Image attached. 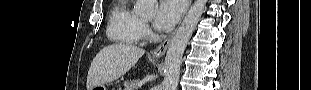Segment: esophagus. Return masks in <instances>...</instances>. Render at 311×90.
Wrapping results in <instances>:
<instances>
[{
	"label": "esophagus",
	"mask_w": 311,
	"mask_h": 90,
	"mask_svg": "<svg viewBox=\"0 0 311 90\" xmlns=\"http://www.w3.org/2000/svg\"><path fill=\"white\" fill-rule=\"evenodd\" d=\"M190 4H191V0H188L187 1V7H186V11L188 10V8L190 7ZM171 39H172V35L169 36L168 38H166L157 48H155L152 52H151V56L154 57V58H160L162 57L170 42H171Z\"/></svg>",
	"instance_id": "esophagus-1"
}]
</instances>
